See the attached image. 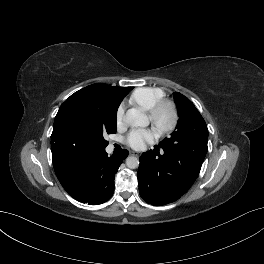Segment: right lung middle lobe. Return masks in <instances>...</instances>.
Listing matches in <instances>:
<instances>
[{"label":"right lung middle lobe","instance_id":"dd1d6c3e","mask_svg":"<svg viewBox=\"0 0 264 264\" xmlns=\"http://www.w3.org/2000/svg\"><path fill=\"white\" fill-rule=\"evenodd\" d=\"M123 98L92 85L75 92L59 108L51 143L69 154L105 149L104 135L116 132V113Z\"/></svg>","mask_w":264,"mask_h":264}]
</instances>
